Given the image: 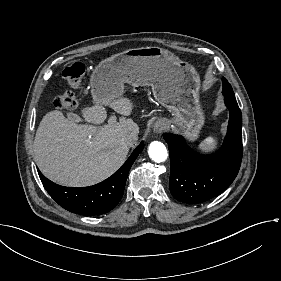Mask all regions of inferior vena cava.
<instances>
[{"mask_svg":"<svg viewBox=\"0 0 281 281\" xmlns=\"http://www.w3.org/2000/svg\"><path fill=\"white\" fill-rule=\"evenodd\" d=\"M138 137L134 134H123L120 136L122 144L133 145L137 141Z\"/></svg>","mask_w":281,"mask_h":281,"instance_id":"inferior-vena-cava-1","label":"inferior vena cava"}]
</instances>
